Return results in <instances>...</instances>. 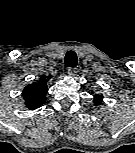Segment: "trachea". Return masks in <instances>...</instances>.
I'll list each match as a JSON object with an SVG mask.
<instances>
[{
  "instance_id": "trachea-1",
  "label": "trachea",
  "mask_w": 135,
  "mask_h": 153,
  "mask_svg": "<svg viewBox=\"0 0 135 153\" xmlns=\"http://www.w3.org/2000/svg\"><path fill=\"white\" fill-rule=\"evenodd\" d=\"M77 55L74 51H68L65 55L64 62L67 67L74 68L77 65Z\"/></svg>"
}]
</instances>
